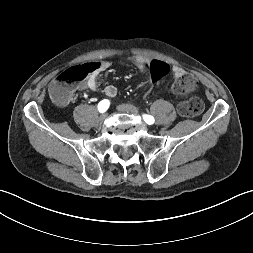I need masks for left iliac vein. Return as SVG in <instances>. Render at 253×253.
Wrapping results in <instances>:
<instances>
[{
    "instance_id": "obj_1",
    "label": "left iliac vein",
    "mask_w": 253,
    "mask_h": 253,
    "mask_svg": "<svg viewBox=\"0 0 253 253\" xmlns=\"http://www.w3.org/2000/svg\"><path fill=\"white\" fill-rule=\"evenodd\" d=\"M117 110L119 112L131 113V114H134V115L139 114L138 109L135 106L129 105V104H121V105L117 106Z\"/></svg>"
}]
</instances>
